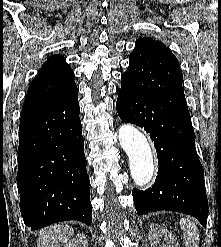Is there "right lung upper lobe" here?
<instances>
[{"label":"right lung upper lobe","instance_id":"1","mask_svg":"<svg viewBox=\"0 0 221 247\" xmlns=\"http://www.w3.org/2000/svg\"><path fill=\"white\" fill-rule=\"evenodd\" d=\"M76 89L74 72L63 56H51L29 85L23 110L62 98Z\"/></svg>","mask_w":221,"mask_h":247}]
</instances>
